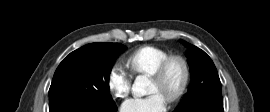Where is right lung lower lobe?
Listing matches in <instances>:
<instances>
[{"instance_id":"98d812e1","label":"right lung lower lobe","mask_w":270,"mask_h":112,"mask_svg":"<svg viewBox=\"0 0 270 112\" xmlns=\"http://www.w3.org/2000/svg\"><path fill=\"white\" fill-rule=\"evenodd\" d=\"M49 112H117V106L105 107L89 100H79L49 106Z\"/></svg>"}]
</instances>
